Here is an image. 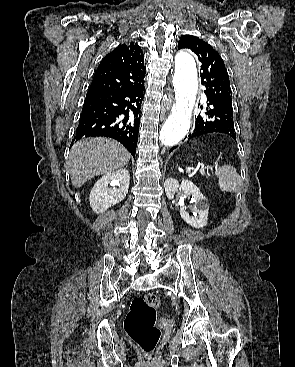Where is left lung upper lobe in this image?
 <instances>
[{"mask_svg":"<svg viewBox=\"0 0 295 367\" xmlns=\"http://www.w3.org/2000/svg\"><path fill=\"white\" fill-rule=\"evenodd\" d=\"M190 49L201 62V81L206 87V96L227 99L232 102L229 75L223 59L211 45L192 35H183L178 49Z\"/></svg>","mask_w":295,"mask_h":367,"instance_id":"1","label":"left lung upper lobe"}]
</instances>
